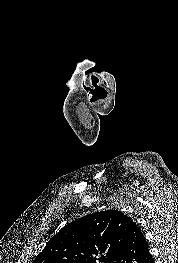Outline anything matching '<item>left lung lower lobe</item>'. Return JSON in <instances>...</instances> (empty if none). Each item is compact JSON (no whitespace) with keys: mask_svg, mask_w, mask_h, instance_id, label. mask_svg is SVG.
Listing matches in <instances>:
<instances>
[{"mask_svg":"<svg viewBox=\"0 0 178 263\" xmlns=\"http://www.w3.org/2000/svg\"><path fill=\"white\" fill-rule=\"evenodd\" d=\"M112 263H154L144 235L134 221Z\"/></svg>","mask_w":178,"mask_h":263,"instance_id":"obj_1","label":"left lung lower lobe"}]
</instances>
